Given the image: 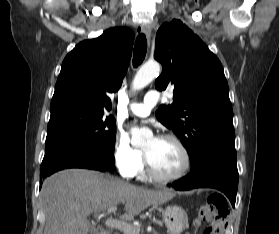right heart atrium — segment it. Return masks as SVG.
I'll list each match as a JSON object with an SVG mask.
<instances>
[{"label": "right heart atrium", "instance_id": "d8ad5b80", "mask_svg": "<svg viewBox=\"0 0 279 234\" xmlns=\"http://www.w3.org/2000/svg\"><path fill=\"white\" fill-rule=\"evenodd\" d=\"M112 155L118 171L126 178L133 177L143 161L142 151L134 147L128 135L121 131L115 134Z\"/></svg>", "mask_w": 279, "mask_h": 234}]
</instances>
